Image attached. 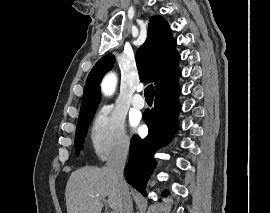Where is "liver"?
<instances>
[{"label":"liver","instance_id":"6515ba94","mask_svg":"<svg viewBox=\"0 0 270 213\" xmlns=\"http://www.w3.org/2000/svg\"><path fill=\"white\" fill-rule=\"evenodd\" d=\"M105 197L108 206L120 213V189L106 167L86 166L71 173L65 189L67 213H101Z\"/></svg>","mask_w":270,"mask_h":213}]
</instances>
